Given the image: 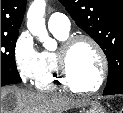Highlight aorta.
<instances>
[{"mask_svg": "<svg viewBox=\"0 0 123 113\" xmlns=\"http://www.w3.org/2000/svg\"><path fill=\"white\" fill-rule=\"evenodd\" d=\"M45 0H34L27 12V28L31 34L37 37L45 49L53 51L56 49V42L49 37L45 26Z\"/></svg>", "mask_w": 123, "mask_h": 113, "instance_id": "aorta-1", "label": "aorta"}]
</instances>
